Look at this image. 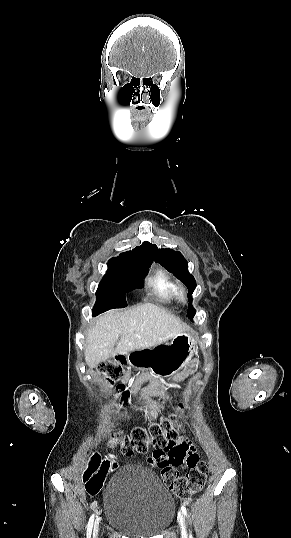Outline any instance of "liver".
Instances as JSON below:
<instances>
[{"instance_id":"obj_1","label":"liver","mask_w":291,"mask_h":538,"mask_svg":"<svg viewBox=\"0 0 291 538\" xmlns=\"http://www.w3.org/2000/svg\"><path fill=\"white\" fill-rule=\"evenodd\" d=\"M187 328L178 317L152 303L112 310L99 316L89 331L85 359L89 364H99L110 357L162 344Z\"/></svg>"}]
</instances>
